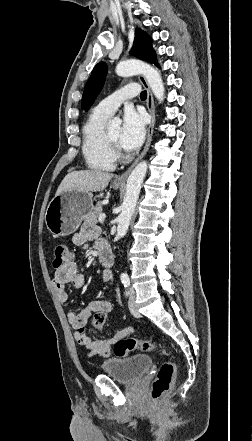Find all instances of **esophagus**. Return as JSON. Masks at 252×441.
Wrapping results in <instances>:
<instances>
[{
	"label": "esophagus",
	"mask_w": 252,
	"mask_h": 441,
	"mask_svg": "<svg viewBox=\"0 0 252 441\" xmlns=\"http://www.w3.org/2000/svg\"><path fill=\"white\" fill-rule=\"evenodd\" d=\"M138 79L142 83V85L145 87V89L147 90L146 106H147L148 112L150 114L151 120H150V124H149V127H148L146 143H145V146H144L142 152L135 159V161L132 163V165L121 176L116 178L115 181L118 182V183H125L127 177L131 173L132 169L135 167V165L147 153V151H148V149L150 147L151 141H152V135H153L154 126H155V106H154V99H153L152 92H151L150 87H149V85H148V83H147V81H146L144 76L140 75L138 77Z\"/></svg>",
	"instance_id": "34e87169"
}]
</instances>
